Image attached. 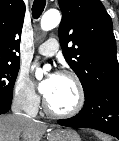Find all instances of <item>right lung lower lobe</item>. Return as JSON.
<instances>
[{
  "mask_svg": "<svg viewBox=\"0 0 119 141\" xmlns=\"http://www.w3.org/2000/svg\"><path fill=\"white\" fill-rule=\"evenodd\" d=\"M11 101L0 99V114L6 113L7 111H9L11 106Z\"/></svg>",
  "mask_w": 119,
  "mask_h": 141,
  "instance_id": "right-lung-lower-lobe-1",
  "label": "right lung lower lobe"
}]
</instances>
